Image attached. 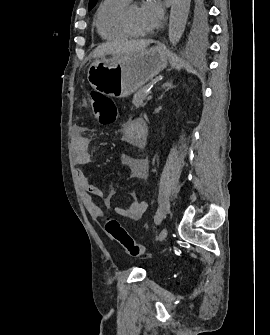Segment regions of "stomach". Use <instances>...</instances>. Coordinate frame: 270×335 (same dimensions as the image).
<instances>
[{
  "label": "stomach",
  "instance_id": "0dacf381",
  "mask_svg": "<svg viewBox=\"0 0 270 335\" xmlns=\"http://www.w3.org/2000/svg\"><path fill=\"white\" fill-rule=\"evenodd\" d=\"M168 52L161 46L97 60L88 70V82L112 98H127L166 68Z\"/></svg>",
  "mask_w": 270,
  "mask_h": 335
}]
</instances>
